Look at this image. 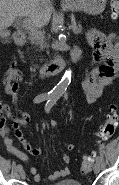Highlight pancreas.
<instances>
[{
  "mask_svg": "<svg viewBox=\"0 0 119 185\" xmlns=\"http://www.w3.org/2000/svg\"><path fill=\"white\" fill-rule=\"evenodd\" d=\"M73 31L75 34L81 33L82 27L81 26H75L73 27ZM29 40L31 41L32 44L35 46L39 47L40 49H44L46 47V44L43 39L38 37L36 34L32 33L29 36Z\"/></svg>",
  "mask_w": 119,
  "mask_h": 185,
  "instance_id": "obj_1",
  "label": "pancreas"
}]
</instances>
